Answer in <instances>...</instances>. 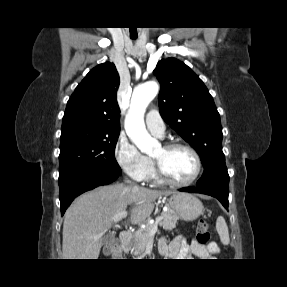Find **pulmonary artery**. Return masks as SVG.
<instances>
[{
	"instance_id": "e3ab8cb5",
	"label": "pulmonary artery",
	"mask_w": 287,
	"mask_h": 287,
	"mask_svg": "<svg viewBox=\"0 0 287 287\" xmlns=\"http://www.w3.org/2000/svg\"><path fill=\"white\" fill-rule=\"evenodd\" d=\"M146 125L150 132L158 137L165 134V124L157 110H151L146 115Z\"/></svg>"
}]
</instances>
